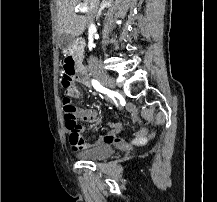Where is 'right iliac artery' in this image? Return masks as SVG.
<instances>
[{
	"instance_id": "1",
	"label": "right iliac artery",
	"mask_w": 217,
	"mask_h": 202,
	"mask_svg": "<svg viewBox=\"0 0 217 202\" xmlns=\"http://www.w3.org/2000/svg\"><path fill=\"white\" fill-rule=\"evenodd\" d=\"M92 85L97 91L107 94L111 98L110 100L111 102H114L113 104H114L115 109H120L121 107L120 103L119 101H116L117 99L116 97H114V94L111 90L103 87L97 80H94V79H92Z\"/></svg>"
}]
</instances>
